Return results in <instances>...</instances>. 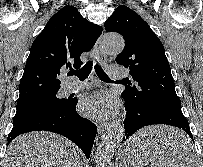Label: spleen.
I'll use <instances>...</instances> for the list:
<instances>
[{"mask_svg":"<svg viewBox=\"0 0 203 167\" xmlns=\"http://www.w3.org/2000/svg\"><path fill=\"white\" fill-rule=\"evenodd\" d=\"M185 142L188 143L186 140ZM139 143L140 141L134 147ZM153 149H157L158 154L151 152ZM130 158L131 167H144L149 162H151V167H195L196 165L195 155L189 148L178 150L173 160H166L162 154V149L158 145L140 150L133 149Z\"/></svg>","mask_w":203,"mask_h":167,"instance_id":"1","label":"spleen"}]
</instances>
